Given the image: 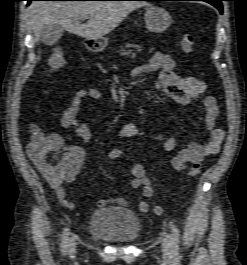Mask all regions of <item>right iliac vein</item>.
<instances>
[{
	"label": "right iliac vein",
	"mask_w": 247,
	"mask_h": 265,
	"mask_svg": "<svg viewBox=\"0 0 247 265\" xmlns=\"http://www.w3.org/2000/svg\"><path fill=\"white\" fill-rule=\"evenodd\" d=\"M75 253H76V242H75L74 238H71L70 242H69V254H70V257L74 258Z\"/></svg>",
	"instance_id": "63e3f726"
}]
</instances>
